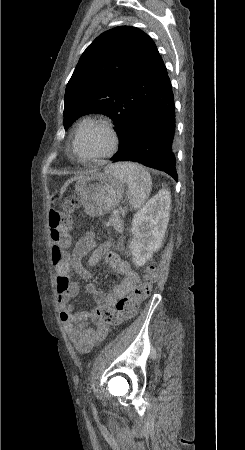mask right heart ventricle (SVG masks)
<instances>
[{
  "mask_svg": "<svg viewBox=\"0 0 245 450\" xmlns=\"http://www.w3.org/2000/svg\"><path fill=\"white\" fill-rule=\"evenodd\" d=\"M90 121H92V120L89 119V118H86V119L82 120L80 124H82V123H88V122H90Z\"/></svg>",
  "mask_w": 245,
  "mask_h": 450,
  "instance_id": "right-heart-ventricle-1",
  "label": "right heart ventricle"
}]
</instances>
